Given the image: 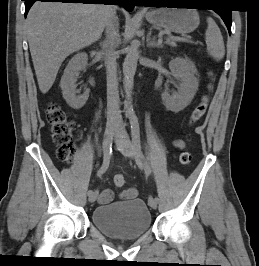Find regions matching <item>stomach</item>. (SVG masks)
<instances>
[{"label": "stomach", "instance_id": "0dacf381", "mask_svg": "<svg viewBox=\"0 0 259 266\" xmlns=\"http://www.w3.org/2000/svg\"><path fill=\"white\" fill-rule=\"evenodd\" d=\"M179 5L175 7H182ZM146 17L151 24L180 34L194 31L200 23L198 12L188 8H158L149 11Z\"/></svg>", "mask_w": 259, "mask_h": 266}]
</instances>
